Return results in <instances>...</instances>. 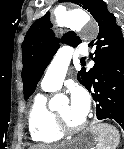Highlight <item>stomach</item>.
Returning a JSON list of instances; mask_svg holds the SVG:
<instances>
[{"instance_id": "1", "label": "stomach", "mask_w": 124, "mask_h": 149, "mask_svg": "<svg viewBox=\"0 0 124 149\" xmlns=\"http://www.w3.org/2000/svg\"><path fill=\"white\" fill-rule=\"evenodd\" d=\"M94 127L95 126L79 134L73 140L72 145L69 149H93L91 147H93L98 141L97 131Z\"/></svg>"}]
</instances>
